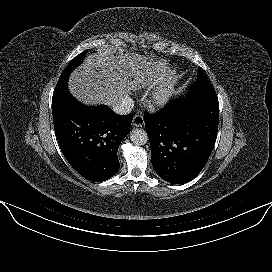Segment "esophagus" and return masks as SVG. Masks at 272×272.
<instances>
[{"instance_id":"esophagus-1","label":"esophagus","mask_w":272,"mask_h":272,"mask_svg":"<svg viewBox=\"0 0 272 272\" xmlns=\"http://www.w3.org/2000/svg\"><path fill=\"white\" fill-rule=\"evenodd\" d=\"M133 126L142 127L144 125V118L142 115H135L132 121Z\"/></svg>"}]
</instances>
